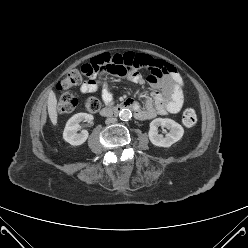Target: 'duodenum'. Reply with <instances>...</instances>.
Masks as SVG:
<instances>
[{
  "label": "duodenum",
  "instance_id": "duodenum-1",
  "mask_svg": "<svg viewBox=\"0 0 248 248\" xmlns=\"http://www.w3.org/2000/svg\"><path fill=\"white\" fill-rule=\"evenodd\" d=\"M124 109H130L132 110L136 115L140 112V107L138 104L134 101H126L120 105L117 106H107L101 109L100 116L102 117H110V116H116L118 115L122 110Z\"/></svg>",
  "mask_w": 248,
  "mask_h": 248
}]
</instances>
